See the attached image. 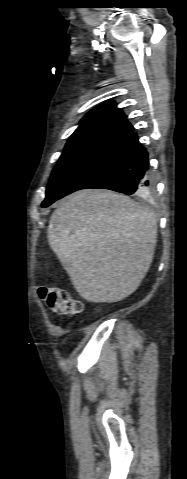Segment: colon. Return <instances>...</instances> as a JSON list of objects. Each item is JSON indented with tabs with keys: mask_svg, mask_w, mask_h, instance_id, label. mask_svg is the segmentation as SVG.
<instances>
[{
	"mask_svg": "<svg viewBox=\"0 0 187 479\" xmlns=\"http://www.w3.org/2000/svg\"><path fill=\"white\" fill-rule=\"evenodd\" d=\"M41 300L51 309L66 316L78 315L83 310L81 301L74 299L65 289L41 286L38 289Z\"/></svg>",
	"mask_w": 187,
	"mask_h": 479,
	"instance_id": "colon-1",
	"label": "colon"
}]
</instances>
